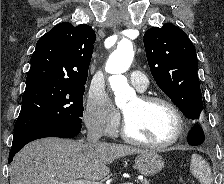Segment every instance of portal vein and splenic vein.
Instances as JSON below:
<instances>
[{"label": "portal vein and splenic vein", "mask_w": 224, "mask_h": 184, "mask_svg": "<svg viewBox=\"0 0 224 184\" xmlns=\"http://www.w3.org/2000/svg\"><path fill=\"white\" fill-rule=\"evenodd\" d=\"M55 184H99L98 182H92V181H87L83 179L75 180V181H69V182H55ZM123 184H133L131 182H126Z\"/></svg>", "instance_id": "18ae733b"}]
</instances>
